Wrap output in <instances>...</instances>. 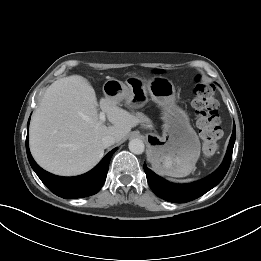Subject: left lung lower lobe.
Returning <instances> with one entry per match:
<instances>
[{
  "label": "left lung lower lobe",
  "instance_id": "left-lung-lower-lobe-1",
  "mask_svg": "<svg viewBox=\"0 0 261 261\" xmlns=\"http://www.w3.org/2000/svg\"><path fill=\"white\" fill-rule=\"evenodd\" d=\"M236 137L235 124L227 153L220 167L206 178L190 184H173L156 175L144 164L147 181L153 192L160 198L174 203H186L194 200L221 182L230 166Z\"/></svg>",
  "mask_w": 261,
  "mask_h": 261
}]
</instances>
